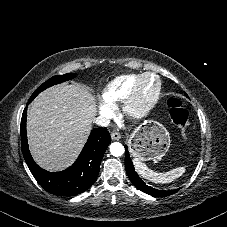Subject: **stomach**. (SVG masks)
<instances>
[{
    "label": "stomach",
    "instance_id": "obj_1",
    "mask_svg": "<svg viewBox=\"0 0 227 227\" xmlns=\"http://www.w3.org/2000/svg\"><path fill=\"white\" fill-rule=\"evenodd\" d=\"M129 151L140 161L161 159L170 147L167 129L157 121L139 125L128 140Z\"/></svg>",
    "mask_w": 227,
    "mask_h": 227
}]
</instances>
